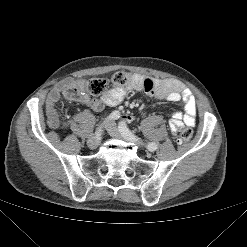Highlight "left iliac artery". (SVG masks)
I'll use <instances>...</instances> for the list:
<instances>
[{"label":"left iliac artery","instance_id":"1","mask_svg":"<svg viewBox=\"0 0 247 247\" xmlns=\"http://www.w3.org/2000/svg\"><path fill=\"white\" fill-rule=\"evenodd\" d=\"M119 131L124 134L125 136H129V137H132V136H135L134 134L131 133V131L129 130V128L127 127V125L125 124V122H121L119 124ZM136 137V136H135ZM157 144L154 143V142H151L147 145V149L149 151H155L157 149Z\"/></svg>","mask_w":247,"mask_h":247}]
</instances>
